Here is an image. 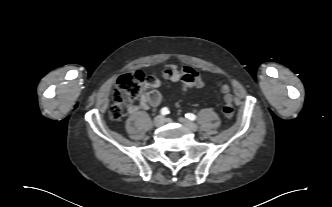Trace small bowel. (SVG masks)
Returning <instances> with one entry per match:
<instances>
[{
    "mask_svg": "<svg viewBox=\"0 0 332 207\" xmlns=\"http://www.w3.org/2000/svg\"><path fill=\"white\" fill-rule=\"evenodd\" d=\"M166 69L171 71L172 81L180 84V91L182 93H186L195 88H201L205 84V79L202 74L192 67L186 66L179 68L172 65L168 66ZM160 86V80L155 75H151L144 86L139 104L131 106L130 111L136 112L139 109H147L150 106H158L163 103L167 95L159 90Z\"/></svg>",
    "mask_w": 332,
    "mask_h": 207,
    "instance_id": "small-bowel-1",
    "label": "small bowel"
}]
</instances>
